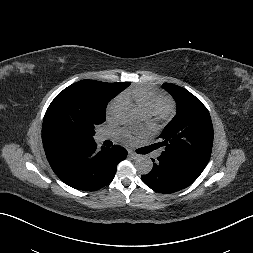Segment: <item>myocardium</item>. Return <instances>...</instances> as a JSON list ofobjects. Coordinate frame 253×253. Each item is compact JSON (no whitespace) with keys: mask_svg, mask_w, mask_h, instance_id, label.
Wrapping results in <instances>:
<instances>
[{"mask_svg":"<svg viewBox=\"0 0 253 253\" xmlns=\"http://www.w3.org/2000/svg\"><path fill=\"white\" fill-rule=\"evenodd\" d=\"M175 114V108L172 103L165 102L155 113L156 117L162 121H169Z\"/></svg>","mask_w":253,"mask_h":253,"instance_id":"1","label":"myocardium"}]
</instances>
